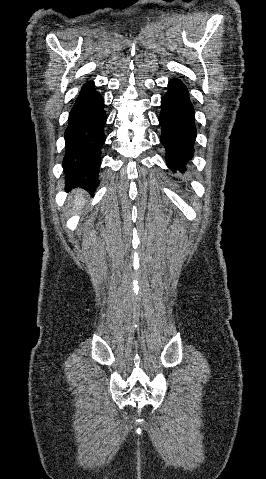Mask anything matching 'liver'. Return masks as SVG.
<instances>
[{
  "label": "liver",
  "mask_w": 266,
  "mask_h": 479,
  "mask_svg": "<svg viewBox=\"0 0 266 479\" xmlns=\"http://www.w3.org/2000/svg\"><path fill=\"white\" fill-rule=\"evenodd\" d=\"M73 204H74L73 213L78 212L85 206V201L83 199L82 192H79V191L76 192V198Z\"/></svg>",
  "instance_id": "6515ba94"
}]
</instances>
